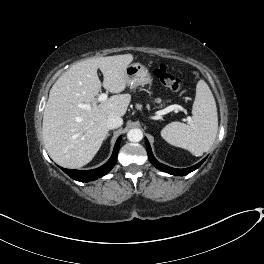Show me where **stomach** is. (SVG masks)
I'll use <instances>...</instances> for the list:
<instances>
[{"mask_svg": "<svg viewBox=\"0 0 264 264\" xmlns=\"http://www.w3.org/2000/svg\"><path fill=\"white\" fill-rule=\"evenodd\" d=\"M151 75L141 63L128 65L126 69V83L132 87L142 86L150 82Z\"/></svg>", "mask_w": 264, "mask_h": 264, "instance_id": "obj_1", "label": "stomach"}]
</instances>
